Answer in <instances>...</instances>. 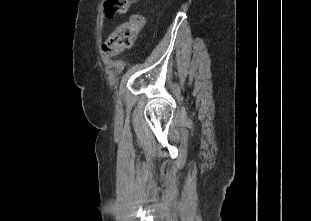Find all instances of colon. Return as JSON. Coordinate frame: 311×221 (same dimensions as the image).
I'll use <instances>...</instances> for the list:
<instances>
[{
  "label": "colon",
  "mask_w": 311,
  "mask_h": 221,
  "mask_svg": "<svg viewBox=\"0 0 311 221\" xmlns=\"http://www.w3.org/2000/svg\"><path fill=\"white\" fill-rule=\"evenodd\" d=\"M110 5H106L105 22H113L114 17H126L127 5L134 4V0H109ZM103 17V18H104ZM147 19L146 13H137L130 19L120 24L104 41L102 50L108 55H118L120 52L130 48L139 33L144 27Z\"/></svg>",
  "instance_id": "1"
}]
</instances>
